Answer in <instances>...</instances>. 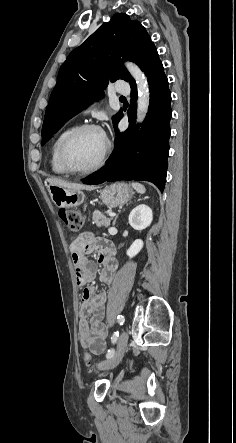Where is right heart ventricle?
Listing matches in <instances>:
<instances>
[{"instance_id": "1", "label": "right heart ventricle", "mask_w": 236, "mask_h": 443, "mask_svg": "<svg viewBox=\"0 0 236 443\" xmlns=\"http://www.w3.org/2000/svg\"><path fill=\"white\" fill-rule=\"evenodd\" d=\"M75 125L68 126L64 128L54 139L52 146H51V152H50V166L54 173L56 174H67V172L64 170V168L61 166L59 161V148L64 140V138L73 130L75 129Z\"/></svg>"}]
</instances>
